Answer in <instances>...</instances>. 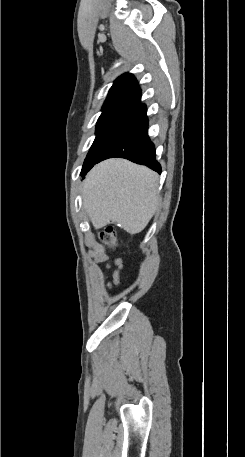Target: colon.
<instances>
[{
	"label": "colon",
	"instance_id": "obj_1",
	"mask_svg": "<svg viewBox=\"0 0 245 457\" xmlns=\"http://www.w3.org/2000/svg\"><path fill=\"white\" fill-rule=\"evenodd\" d=\"M100 240L102 243L113 247L117 244V232L114 227H106L100 234Z\"/></svg>",
	"mask_w": 245,
	"mask_h": 457
}]
</instances>
